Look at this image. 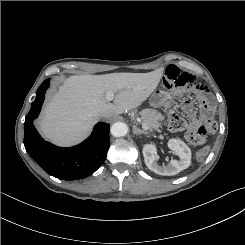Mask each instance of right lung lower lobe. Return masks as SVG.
Instances as JSON below:
<instances>
[{"instance_id":"right-lung-lower-lobe-1","label":"right lung lower lobe","mask_w":245,"mask_h":245,"mask_svg":"<svg viewBox=\"0 0 245 245\" xmlns=\"http://www.w3.org/2000/svg\"><path fill=\"white\" fill-rule=\"evenodd\" d=\"M48 86L49 80L40 85L25 117L26 151L49 175L66 181L85 178L99 169L106 158L110 125L99 122L91 136L74 147L62 148L46 142L35 129L33 120L39 115Z\"/></svg>"}]
</instances>
